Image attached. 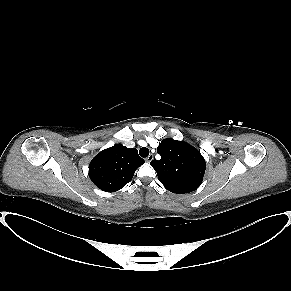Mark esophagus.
<instances>
[{
	"label": "esophagus",
	"mask_w": 291,
	"mask_h": 291,
	"mask_svg": "<svg viewBox=\"0 0 291 291\" xmlns=\"http://www.w3.org/2000/svg\"><path fill=\"white\" fill-rule=\"evenodd\" d=\"M153 159H154L153 154H150L148 157L145 158V161L150 163Z\"/></svg>",
	"instance_id": "34e87169"
}]
</instances>
